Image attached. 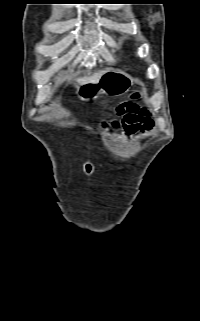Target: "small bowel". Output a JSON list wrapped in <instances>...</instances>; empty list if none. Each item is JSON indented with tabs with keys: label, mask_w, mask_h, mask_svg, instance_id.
<instances>
[{
	"label": "small bowel",
	"mask_w": 200,
	"mask_h": 321,
	"mask_svg": "<svg viewBox=\"0 0 200 321\" xmlns=\"http://www.w3.org/2000/svg\"><path fill=\"white\" fill-rule=\"evenodd\" d=\"M122 121L114 123L115 127H121L126 135H138L144 132H150L154 123L150 113L145 109L138 108L133 103H125Z\"/></svg>",
	"instance_id": "1"
}]
</instances>
